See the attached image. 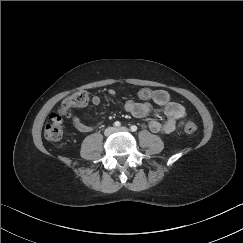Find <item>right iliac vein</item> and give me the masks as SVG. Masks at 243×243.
Masks as SVG:
<instances>
[{"mask_svg": "<svg viewBox=\"0 0 243 243\" xmlns=\"http://www.w3.org/2000/svg\"><path fill=\"white\" fill-rule=\"evenodd\" d=\"M114 131H115V129H114L113 127H108V128L105 130V135H106V136H109V135H111Z\"/></svg>", "mask_w": 243, "mask_h": 243, "instance_id": "obj_1", "label": "right iliac vein"}]
</instances>
